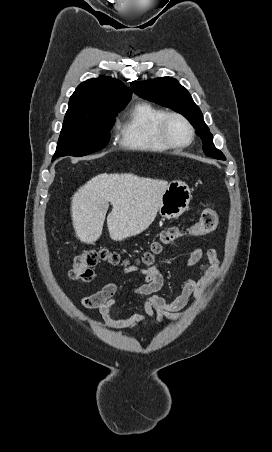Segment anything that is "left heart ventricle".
<instances>
[{"label":"left heart ventricle","mask_w":272,"mask_h":452,"mask_svg":"<svg viewBox=\"0 0 272 452\" xmlns=\"http://www.w3.org/2000/svg\"><path fill=\"white\" fill-rule=\"evenodd\" d=\"M168 131L172 139L176 142H186L189 138L186 126L176 118H173L169 121Z\"/></svg>","instance_id":"b2bd125f"}]
</instances>
